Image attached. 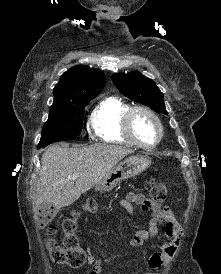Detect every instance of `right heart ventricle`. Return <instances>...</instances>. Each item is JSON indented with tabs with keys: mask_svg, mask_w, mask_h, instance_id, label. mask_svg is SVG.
Masks as SVG:
<instances>
[{
	"mask_svg": "<svg viewBox=\"0 0 221 274\" xmlns=\"http://www.w3.org/2000/svg\"><path fill=\"white\" fill-rule=\"evenodd\" d=\"M131 104L116 95L103 97L90 115V123L96 137L102 141L135 146L124 129V117Z\"/></svg>",
	"mask_w": 221,
	"mask_h": 274,
	"instance_id": "1",
	"label": "right heart ventricle"
}]
</instances>
